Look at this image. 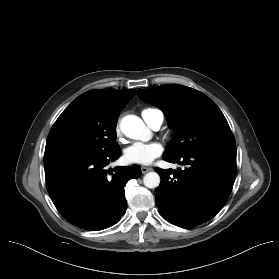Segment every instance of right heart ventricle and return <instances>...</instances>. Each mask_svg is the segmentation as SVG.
Wrapping results in <instances>:
<instances>
[{
    "instance_id": "1",
    "label": "right heart ventricle",
    "mask_w": 279,
    "mask_h": 279,
    "mask_svg": "<svg viewBox=\"0 0 279 279\" xmlns=\"http://www.w3.org/2000/svg\"><path fill=\"white\" fill-rule=\"evenodd\" d=\"M151 111H153V109H145V110H143L142 115L145 113L151 112Z\"/></svg>"
}]
</instances>
